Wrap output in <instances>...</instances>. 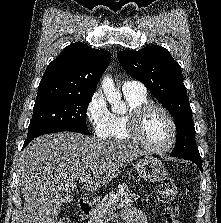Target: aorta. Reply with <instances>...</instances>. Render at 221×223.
<instances>
[{"instance_id": "1", "label": "aorta", "mask_w": 221, "mask_h": 223, "mask_svg": "<svg viewBox=\"0 0 221 223\" xmlns=\"http://www.w3.org/2000/svg\"><path fill=\"white\" fill-rule=\"evenodd\" d=\"M101 84L104 95L111 105L112 111L116 113L124 112L126 110V105L121 101V93L115 88L113 79L111 77H104Z\"/></svg>"}]
</instances>
